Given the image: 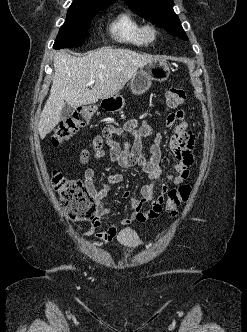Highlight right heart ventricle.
Segmentation results:
<instances>
[{
  "mask_svg": "<svg viewBox=\"0 0 247 332\" xmlns=\"http://www.w3.org/2000/svg\"><path fill=\"white\" fill-rule=\"evenodd\" d=\"M144 25L129 13L119 15L109 26L111 36L119 43L142 47L148 44Z\"/></svg>",
  "mask_w": 247,
  "mask_h": 332,
  "instance_id": "right-heart-ventricle-1",
  "label": "right heart ventricle"
}]
</instances>
